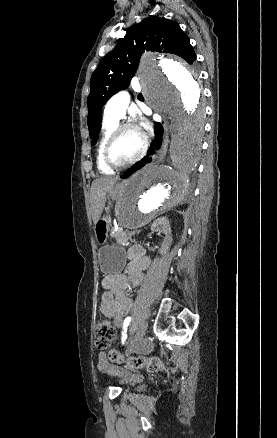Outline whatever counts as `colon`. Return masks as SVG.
<instances>
[{
  "instance_id": "colon-1",
  "label": "colon",
  "mask_w": 277,
  "mask_h": 438,
  "mask_svg": "<svg viewBox=\"0 0 277 438\" xmlns=\"http://www.w3.org/2000/svg\"><path fill=\"white\" fill-rule=\"evenodd\" d=\"M115 326L107 320H98L94 325V344L97 349L106 351L110 348L116 338ZM110 362L125 364L131 369L146 367L149 372H159L165 370L161 360L157 357H130L127 358L121 353H110L108 355Z\"/></svg>"
}]
</instances>
